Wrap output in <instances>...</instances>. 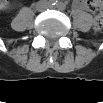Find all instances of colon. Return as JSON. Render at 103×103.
I'll return each mask as SVG.
<instances>
[{
    "instance_id": "1",
    "label": "colon",
    "mask_w": 103,
    "mask_h": 103,
    "mask_svg": "<svg viewBox=\"0 0 103 103\" xmlns=\"http://www.w3.org/2000/svg\"><path fill=\"white\" fill-rule=\"evenodd\" d=\"M88 4L89 9L97 14L94 19L93 28L95 31H100L103 27L102 4L98 0H93L88 2Z\"/></svg>"
}]
</instances>
